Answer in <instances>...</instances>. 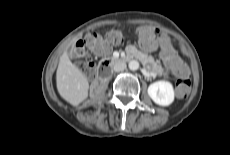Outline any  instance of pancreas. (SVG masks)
<instances>
[{"instance_id":"cf45deb5","label":"pancreas","mask_w":230,"mask_h":155,"mask_svg":"<svg viewBox=\"0 0 230 155\" xmlns=\"http://www.w3.org/2000/svg\"><path fill=\"white\" fill-rule=\"evenodd\" d=\"M133 55L136 58H140L142 56V53L139 52V51H136V52H134ZM143 62L145 64H147L153 72H155V73H157L159 75H163V74L167 75L165 73L164 69L162 68V66L158 62H156L151 56H145L143 58Z\"/></svg>"}]
</instances>
